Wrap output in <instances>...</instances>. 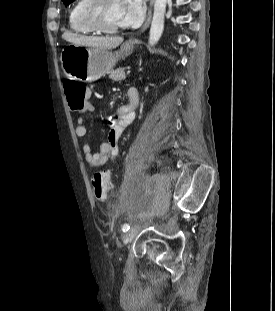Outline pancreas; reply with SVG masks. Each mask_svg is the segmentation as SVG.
Returning a JSON list of instances; mask_svg holds the SVG:
<instances>
[{
    "label": "pancreas",
    "mask_w": 275,
    "mask_h": 311,
    "mask_svg": "<svg viewBox=\"0 0 275 311\" xmlns=\"http://www.w3.org/2000/svg\"><path fill=\"white\" fill-rule=\"evenodd\" d=\"M125 72L124 68H118L114 71H112L109 75V78L112 79L113 81H121L125 79Z\"/></svg>",
    "instance_id": "pancreas-1"
}]
</instances>
